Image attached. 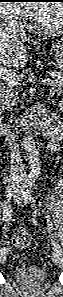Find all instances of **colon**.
<instances>
[{"label":"colon","mask_w":63,"mask_h":297,"mask_svg":"<svg viewBox=\"0 0 63 297\" xmlns=\"http://www.w3.org/2000/svg\"><path fill=\"white\" fill-rule=\"evenodd\" d=\"M25 232H19L18 234L14 235L13 243L19 247H26L30 244L29 238L26 236Z\"/></svg>","instance_id":"1"}]
</instances>
